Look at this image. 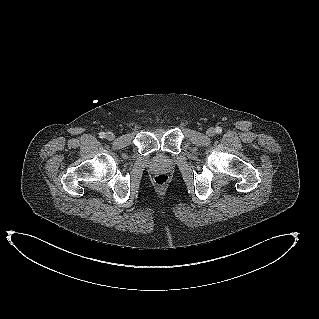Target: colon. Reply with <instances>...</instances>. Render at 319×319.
<instances>
[{"label": "colon", "instance_id": "5ec220e1", "mask_svg": "<svg viewBox=\"0 0 319 319\" xmlns=\"http://www.w3.org/2000/svg\"><path fill=\"white\" fill-rule=\"evenodd\" d=\"M169 177L165 173H159L154 177V183L158 186H164L167 184Z\"/></svg>", "mask_w": 319, "mask_h": 319}]
</instances>
